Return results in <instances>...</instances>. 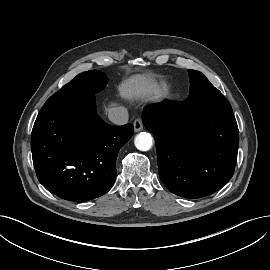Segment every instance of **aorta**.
<instances>
[{"label": "aorta", "instance_id": "762f6f07", "mask_svg": "<svg viewBox=\"0 0 270 270\" xmlns=\"http://www.w3.org/2000/svg\"><path fill=\"white\" fill-rule=\"evenodd\" d=\"M134 144L140 151H148L153 145V138L150 133L141 132L136 135Z\"/></svg>", "mask_w": 270, "mask_h": 270}]
</instances>
